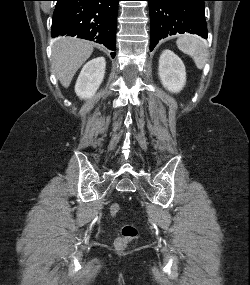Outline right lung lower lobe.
<instances>
[{"label":"right lung lower lobe","mask_w":250,"mask_h":285,"mask_svg":"<svg viewBox=\"0 0 250 285\" xmlns=\"http://www.w3.org/2000/svg\"><path fill=\"white\" fill-rule=\"evenodd\" d=\"M51 36L70 35L116 49V22L120 0H56ZM112 57L115 53L111 54Z\"/></svg>","instance_id":"obj_1"}]
</instances>
